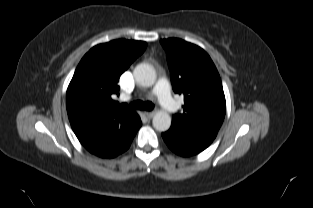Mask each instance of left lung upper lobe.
<instances>
[{
    "label": "left lung upper lobe",
    "instance_id": "1",
    "mask_svg": "<svg viewBox=\"0 0 313 208\" xmlns=\"http://www.w3.org/2000/svg\"><path fill=\"white\" fill-rule=\"evenodd\" d=\"M166 51L172 87L184 96L183 112L171 127L214 140L224 120L226 101L219 73L209 55L197 45L177 38L160 41Z\"/></svg>",
    "mask_w": 313,
    "mask_h": 208
}]
</instances>
